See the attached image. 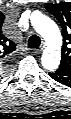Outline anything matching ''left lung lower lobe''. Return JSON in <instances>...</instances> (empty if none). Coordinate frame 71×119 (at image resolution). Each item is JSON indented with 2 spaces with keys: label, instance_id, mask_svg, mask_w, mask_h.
<instances>
[{
  "label": "left lung lower lobe",
  "instance_id": "obj_1",
  "mask_svg": "<svg viewBox=\"0 0 71 119\" xmlns=\"http://www.w3.org/2000/svg\"><path fill=\"white\" fill-rule=\"evenodd\" d=\"M49 76L61 84L71 86V69L59 67L56 71L49 73Z\"/></svg>",
  "mask_w": 71,
  "mask_h": 119
}]
</instances>
